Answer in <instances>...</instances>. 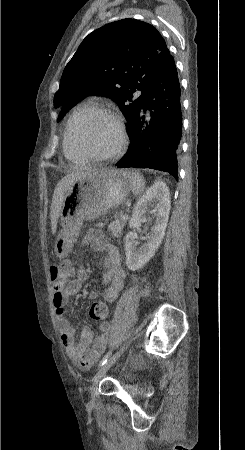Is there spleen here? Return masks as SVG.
<instances>
[{
  "mask_svg": "<svg viewBox=\"0 0 245 450\" xmlns=\"http://www.w3.org/2000/svg\"><path fill=\"white\" fill-rule=\"evenodd\" d=\"M125 175L128 177L131 185V190L135 195H140L145 188V181L142 175L139 173H130L125 172Z\"/></svg>",
  "mask_w": 245,
  "mask_h": 450,
  "instance_id": "3e777b00",
  "label": "spleen"
}]
</instances>
